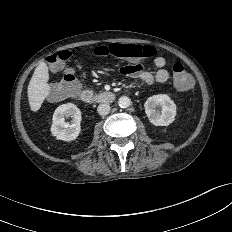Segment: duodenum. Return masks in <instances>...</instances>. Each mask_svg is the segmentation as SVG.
Wrapping results in <instances>:
<instances>
[{
    "label": "duodenum",
    "instance_id": "duodenum-1",
    "mask_svg": "<svg viewBox=\"0 0 232 232\" xmlns=\"http://www.w3.org/2000/svg\"><path fill=\"white\" fill-rule=\"evenodd\" d=\"M115 98V93L110 91L95 93L90 90H82L79 93V99L86 104H92L95 102L108 104L113 102Z\"/></svg>",
    "mask_w": 232,
    "mask_h": 232
}]
</instances>
